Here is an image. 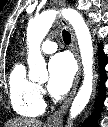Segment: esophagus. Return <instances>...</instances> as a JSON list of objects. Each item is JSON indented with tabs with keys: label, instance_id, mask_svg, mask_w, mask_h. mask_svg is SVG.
Listing matches in <instances>:
<instances>
[{
	"label": "esophagus",
	"instance_id": "esophagus-1",
	"mask_svg": "<svg viewBox=\"0 0 108 127\" xmlns=\"http://www.w3.org/2000/svg\"><path fill=\"white\" fill-rule=\"evenodd\" d=\"M59 5L61 7H64L66 5L65 1L64 0H59ZM61 22L63 25H66L70 34H71V50L78 62V72L76 74V77H75V80H74V84H73V87H72V90L70 92V95L69 97L67 98V100L60 106V108L55 111L50 117H48L47 121H46V126L47 127H60L61 124H62V120H63V116L65 115V113L67 112L71 102H72V99L77 91V88H78V84H79V81H80V77H81V71H82V68H81V60H80V56H79V52H78V48H77V43H76V38H75V34L73 32V29L72 27L69 25V23L64 19L62 18L61 19Z\"/></svg>",
	"mask_w": 108,
	"mask_h": 127
}]
</instances>
